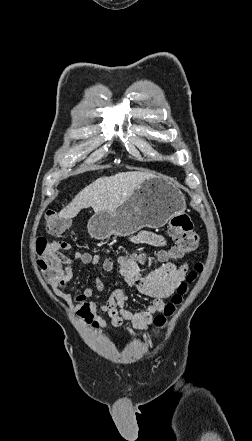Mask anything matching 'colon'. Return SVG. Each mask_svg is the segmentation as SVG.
I'll use <instances>...</instances> for the list:
<instances>
[{
    "mask_svg": "<svg viewBox=\"0 0 252 441\" xmlns=\"http://www.w3.org/2000/svg\"><path fill=\"white\" fill-rule=\"evenodd\" d=\"M69 221L56 215L54 212L48 215L46 221V230L57 236H62L69 228ZM168 235L174 242L171 255L173 257H184L194 251L198 246V236L193 229L190 218L185 214H180L171 219L168 226ZM61 242L40 239L36 243V252L38 256L37 264L48 281L59 282L64 272L61 269L63 256L60 253ZM163 258V255H160ZM203 269L202 263H198L193 271H191L185 281H183L172 297L170 303L165 305L162 314L154 319L157 328L165 325L166 319L171 316L177 307L182 303L184 295L187 293L189 285L194 282L197 274ZM97 325V322L94 323Z\"/></svg>",
    "mask_w": 252,
    "mask_h": 441,
    "instance_id": "obj_1",
    "label": "colon"
}]
</instances>
